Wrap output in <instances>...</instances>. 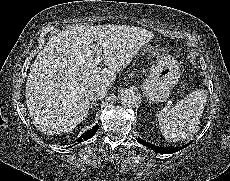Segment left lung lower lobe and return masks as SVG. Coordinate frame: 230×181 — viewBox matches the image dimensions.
I'll use <instances>...</instances> for the list:
<instances>
[{
    "label": "left lung lower lobe",
    "instance_id": "left-lung-lower-lobe-1",
    "mask_svg": "<svg viewBox=\"0 0 230 181\" xmlns=\"http://www.w3.org/2000/svg\"><path fill=\"white\" fill-rule=\"evenodd\" d=\"M138 142L148 148H151L153 150H155L156 152L158 153H162V154H172V153H175L177 152L178 150H181L183 148H185L187 145H185L184 147H180V148H162V147H158V146H155V145H152L146 141H143L141 140L139 137H138Z\"/></svg>",
    "mask_w": 230,
    "mask_h": 181
}]
</instances>
